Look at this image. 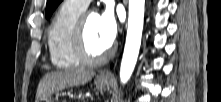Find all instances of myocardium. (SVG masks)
I'll return each instance as SVG.
<instances>
[{"label": "myocardium", "instance_id": "1", "mask_svg": "<svg viewBox=\"0 0 221 102\" xmlns=\"http://www.w3.org/2000/svg\"><path fill=\"white\" fill-rule=\"evenodd\" d=\"M88 15V13H82L76 23L73 33V48L75 55L81 63L94 66L99 65L107 60L112 54L113 48L111 45H109V47L99 55H92L88 51L85 36L86 19Z\"/></svg>", "mask_w": 221, "mask_h": 102}]
</instances>
